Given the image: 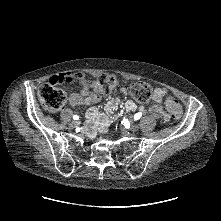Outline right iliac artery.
Returning <instances> with one entry per match:
<instances>
[{"label": "right iliac artery", "mask_w": 221, "mask_h": 221, "mask_svg": "<svg viewBox=\"0 0 221 221\" xmlns=\"http://www.w3.org/2000/svg\"><path fill=\"white\" fill-rule=\"evenodd\" d=\"M73 119H74V120H78V119H79V116L74 115V116H73Z\"/></svg>", "instance_id": "1"}]
</instances>
